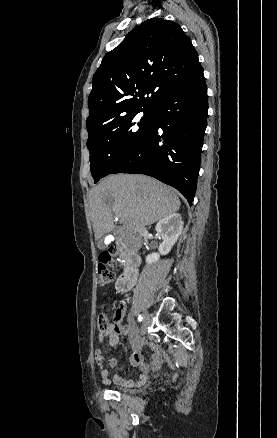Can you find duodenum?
I'll use <instances>...</instances> for the list:
<instances>
[{
  "label": "duodenum",
  "mask_w": 277,
  "mask_h": 438,
  "mask_svg": "<svg viewBox=\"0 0 277 438\" xmlns=\"http://www.w3.org/2000/svg\"><path fill=\"white\" fill-rule=\"evenodd\" d=\"M113 246L120 249L125 254V267L122 275L117 281V290L120 293H126L134 286L137 280L140 257L134 247L128 242L117 241Z\"/></svg>",
  "instance_id": "410a0bca"
}]
</instances>
